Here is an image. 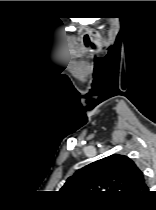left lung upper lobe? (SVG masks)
<instances>
[{
  "label": "left lung upper lobe",
  "mask_w": 156,
  "mask_h": 210,
  "mask_svg": "<svg viewBox=\"0 0 156 210\" xmlns=\"http://www.w3.org/2000/svg\"><path fill=\"white\" fill-rule=\"evenodd\" d=\"M69 193H114L138 196L148 192L143 172L123 155H111L93 162L69 177L61 189Z\"/></svg>",
  "instance_id": "left-lung-upper-lobe-1"
}]
</instances>
